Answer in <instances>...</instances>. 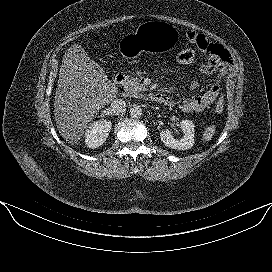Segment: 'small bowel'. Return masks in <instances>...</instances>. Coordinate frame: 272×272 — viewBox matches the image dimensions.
Wrapping results in <instances>:
<instances>
[{"label": "small bowel", "mask_w": 272, "mask_h": 272, "mask_svg": "<svg viewBox=\"0 0 272 272\" xmlns=\"http://www.w3.org/2000/svg\"><path fill=\"white\" fill-rule=\"evenodd\" d=\"M186 37L190 43L196 45L205 55L206 59L200 65V69L205 74H213L215 82L202 95L184 97L177 102L171 100V105L178 106L184 112H199L209 107L217 99L220 92L219 83L226 78L232 63V57L225 47L211 42L201 33L189 31Z\"/></svg>", "instance_id": "small-bowel-1"}]
</instances>
